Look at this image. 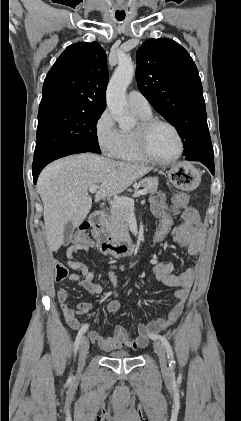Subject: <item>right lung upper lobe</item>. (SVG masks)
Returning <instances> with one entry per match:
<instances>
[{
	"label": "right lung upper lobe",
	"mask_w": 241,
	"mask_h": 421,
	"mask_svg": "<svg viewBox=\"0 0 241 421\" xmlns=\"http://www.w3.org/2000/svg\"><path fill=\"white\" fill-rule=\"evenodd\" d=\"M107 84V58L100 44H72L59 56L44 80L39 111H104Z\"/></svg>",
	"instance_id": "right-lung-upper-lobe-1"
}]
</instances>
